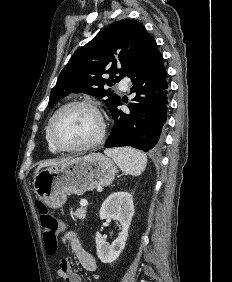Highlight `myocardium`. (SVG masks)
Instances as JSON below:
<instances>
[{"label": "myocardium", "instance_id": "1", "mask_svg": "<svg viewBox=\"0 0 232 282\" xmlns=\"http://www.w3.org/2000/svg\"><path fill=\"white\" fill-rule=\"evenodd\" d=\"M74 106H82V107H87L90 108L95 112L97 115L99 122H100V130L98 135L91 141L81 144V145H76V146H66L61 144L54 136V123L57 119V117L66 109ZM47 132H48V137L51 141V143L54 145L55 148H57L59 151H65V152H77V151H84V150H89L91 148L96 147L99 145L106 134V123L104 120V117L97 106V104L91 100H73L70 102H67L63 104L61 107H59L54 114L51 116L48 126H47Z\"/></svg>", "mask_w": 232, "mask_h": 282}]
</instances>
